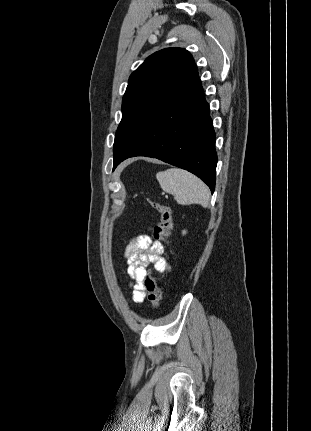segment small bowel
<instances>
[{"instance_id":"1","label":"small bowel","mask_w":311,"mask_h":431,"mask_svg":"<svg viewBox=\"0 0 311 431\" xmlns=\"http://www.w3.org/2000/svg\"><path fill=\"white\" fill-rule=\"evenodd\" d=\"M163 252V245L158 241H153L149 235H139L128 242L124 257L128 264V274L133 279L131 287L134 302L140 303L145 298L143 279L149 265L154 264L161 273L169 272V265L161 257Z\"/></svg>"}]
</instances>
